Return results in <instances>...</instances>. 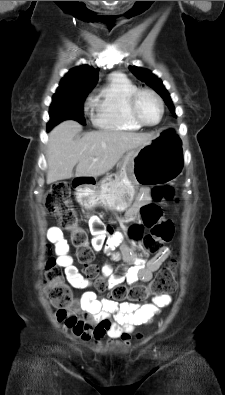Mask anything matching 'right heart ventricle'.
<instances>
[{
  "instance_id": "1",
  "label": "right heart ventricle",
  "mask_w": 225,
  "mask_h": 395,
  "mask_svg": "<svg viewBox=\"0 0 225 395\" xmlns=\"http://www.w3.org/2000/svg\"><path fill=\"white\" fill-rule=\"evenodd\" d=\"M137 89L126 76L110 75L92 100L94 124L104 130H139L141 126L131 118L128 111V100Z\"/></svg>"
}]
</instances>
